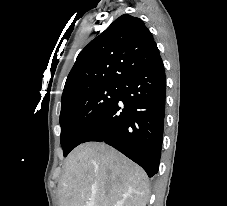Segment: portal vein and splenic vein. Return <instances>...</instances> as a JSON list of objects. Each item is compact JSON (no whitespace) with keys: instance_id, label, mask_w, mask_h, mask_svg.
Returning <instances> with one entry per match:
<instances>
[{"instance_id":"18ae733b","label":"portal vein and splenic vein","mask_w":227,"mask_h":206,"mask_svg":"<svg viewBox=\"0 0 227 206\" xmlns=\"http://www.w3.org/2000/svg\"><path fill=\"white\" fill-rule=\"evenodd\" d=\"M85 206H94V202L93 201H89V202L86 203Z\"/></svg>"}]
</instances>
